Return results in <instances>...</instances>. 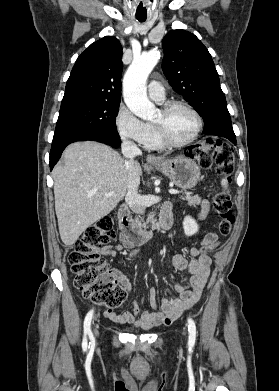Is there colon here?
Returning <instances> with one entry per match:
<instances>
[{"label":"colon","instance_id":"5ec220e1","mask_svg":"<svg viewBox=\"0 0 279 391\" xmlns=\"http://www.w3.org/2000/svg\"><path fill=\"white\" fill-rule=\"evenodd\" d=\"M190 154L203 168L216 166L218 172L225 177H229L233 171V151L221 140L204 139ZM231 207L228 191L221 190L215 194L213 209L220 217L218 229L223 236L230 233L235 222ZM114 239L113 219L103 217L82 233L69 255L71 269L76 275V288L91 303L112 310L124 302L126 291L109 271L107 261L100 256L99 249ZM217 246L218 242H213L205 247V252H210Z\"/></svg>","mask_w":279,"mask_h":391}]
</instances>
